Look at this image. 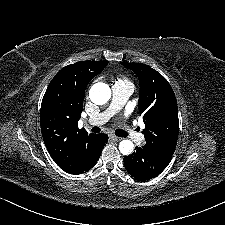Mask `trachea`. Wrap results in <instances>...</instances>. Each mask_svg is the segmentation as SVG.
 I'll use <instances>...</instances> for the list:
<instances>
[{"mask_svg":"<svg viewBox=\"0 0 225 225\" xmlns=\"http://www.w3.org/2000/svg\"><path fill=\"white\" fill-rule=\"evenodd\" d=\"M91 131H92L93 133H98V132H100V128H99V127H93V128L91 129ZM115 134H116L118 137H126V136H128V134H127L125 131H123V130H116V131H115Z\"/></svg>","mask_w":225,"mask_h":225,"instance_id":"1","label":"trachea"}]
</instances>
